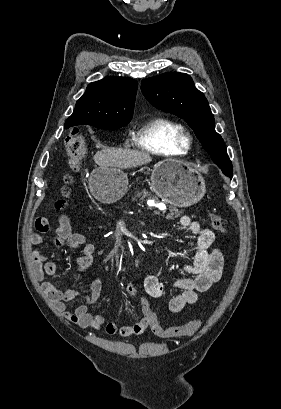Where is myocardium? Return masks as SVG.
Wrapping results in <instances>:
<instances>
[{"instance_id": "obj_1", "label": "myocardium", "mask_w": 281, "mask_h": 409, "mask_svg": "<svg viewBox=\"0 0 281 409\" xmlns=\"http://www.w3.org/2000/svg\"><path fill=\"white\" fill-rule=\"evenodd\" d=\"M180 144H181V146L183 147V149H185L186 151L190 148V146H191V138L189 137L188 134L184 133V134L181 136Z\"/></svg>"}]
</instances>
